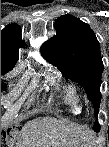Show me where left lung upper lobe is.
<instances>
[{"mask_svg": "<svg viewBox=\"0 0 109 147\" xmlns=\"http://www.w3.org/2000/svg\"><path fill=\"white\" fill-rule=\"evenodd\" d=\"M57 34L43 47L44 57L56 65L64 76L82 85L88 98L99 111L101 75L104 69L100 45L88 24L71 15L61 16L55 23ZM100 130L96 121L93 130Z\"/></svg>", "mask_w": 109, "mask_h": 147, "instance_id": "1", "label": "left lung upper lobe"}]
</instances>
